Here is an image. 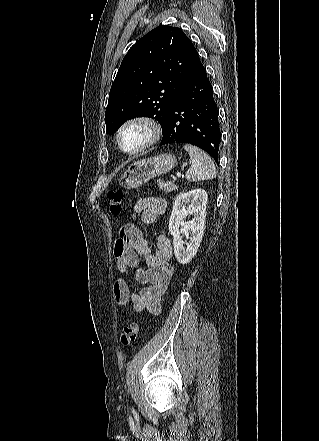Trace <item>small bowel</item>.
<instances>
[{
  "label": "small bowel",
  "instance_id": "c3829d8e",
  "mask_svg": "<svg viewBox=\"0 0 319 441\" xmlns=\"http://www.w3.org/2000/svg\"><path fill=\"white\" fill-rule=\"evenodd\" d=\"M166 200L161 197H144L135 205L133 217L140 214L142 223L150 225L166 210ZM114 244V255L119 272L124 276L134 272L136 281L145 285L140 291H132L124 277L119 278L113 287V294L119 306L131 303L134 312L147 311L150 314L161 312V297L167 290L173 276L169 263L172 256L170 240L165 235L157 237L156 251L152 252L140 228L130 222L125 224ZM140 257L147 265L139 267Z\"/></svg>",
  "mask_w": 319,
  "mask_h": 441
}]
</instances>
